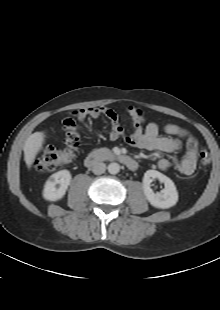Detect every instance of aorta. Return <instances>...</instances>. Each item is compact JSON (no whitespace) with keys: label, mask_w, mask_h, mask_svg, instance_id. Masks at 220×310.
<instances>
[{"label":"aorta","mask_w":220,"mask_h":310,"mask_svg":"<svg viewBox=\"0 0 220 310\" xmlns=\"http://www.w3.org/2000/svg\"><path fill=\"white\" fill-rule=\"evenodd\" d=\"M107 169L110 174L115 175L120 171V165L116 162H112L108 165Z\"/></svg>","instance_id":"762f6f07"}]
</instances>
